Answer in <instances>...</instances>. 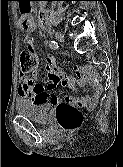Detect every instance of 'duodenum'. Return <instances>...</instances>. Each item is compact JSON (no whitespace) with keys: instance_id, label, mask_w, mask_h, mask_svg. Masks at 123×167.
<instances>
[{"instance_id":"duodenum-1","label":"duodenum","mask_w":123,"mask_h":167,"mask_svg":"<svg viewBox=\"0 0 123 167\" xmlns=\"http://www.w3.org/2000/svg\"><path fill=\"white\" fill-rule=\"evenodd\" d=\"M42 1V0H40ZM49 15L45 9L40 10L39 13V23L42 27H46L48 25Z\"/></svg>"}]
</instances>
